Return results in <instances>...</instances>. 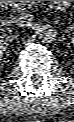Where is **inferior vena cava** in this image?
Masks as SVG:
<instances>
[{"instance_id":"1","label":"inferior vena cava","mask_w":74,"mask_h":122,"mask_svg":"<svg viewBox=\"0 0 74 122\" xmlns=\"http://www.w3.org/2000/svg\"><path fill=\"white\" fill-rule=\"evenodd\" d=\"M34 20V16L28 11H20L15 16V22L20 26L29 27Z\"/></svg>"}]
</instances>
